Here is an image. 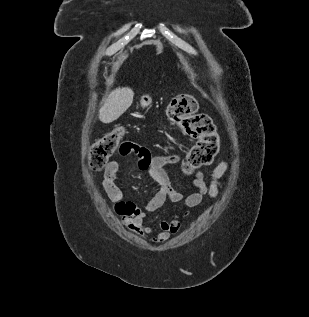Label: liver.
Masks as SVG:
<instances>
[{"label": "liver", "instance_id": "obj_1", "mask_svg": "<svg viewBox=\"0 0 309 317\" xmlns=\"http://www.w3.org/2000/svg\"><path fill=\"white\" fill-rule=\"evenodd\" d=\"M134 92L129 87L116 88L111 91L99 110V119L103 123L117 120L132 104Z\"/></svg>", "mask_w": 309, "mask_h": 317}]
</instances>
